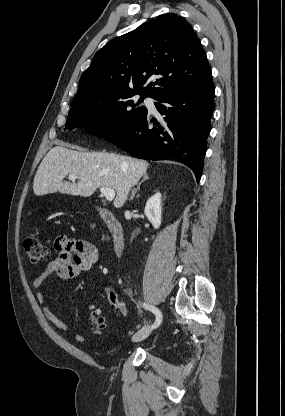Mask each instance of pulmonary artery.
Here are the masks:
<instances>
[{"mask_svg":"<svg viewBox=\"0 0 285 416\" xmlns=\"http://www.w3.org/2000/svg\"><path fill=\"white\" fill-rule=\"evenodd\" d=\"M145 103H146V105H147L150 109H154V102H153V100H152V99L147 98V99L145 100Z\"/></svg>","mask_w":285,"mask_h":416,"instance_id":"e3ab8cb5","label":"pulmonary artery"}]
</instances>
